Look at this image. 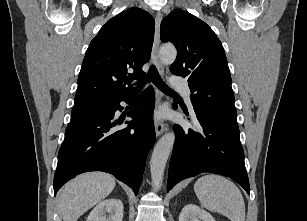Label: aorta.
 Here are the masks:
<instances>
[{
	"label": "aorta",
	"mask_w": 307,
	"mask_h": 221,
	"mask_svg": "<svg viewBox=\"0 0 307 221\" xmlns=\"http://www.w3.org/2000/svg\"><path fill=\"white\" fill-rule=\"evenodd\" d=\"M160 60L165 64L173 63L177 56L176 48L172 45L160 49ZM175 142L174 132L164 134L154 147L150 160V173L154 186L159 189L162 184L164 170Z\"/></svg>",
	"instance_id": "obj_1"
}]
</instances>
